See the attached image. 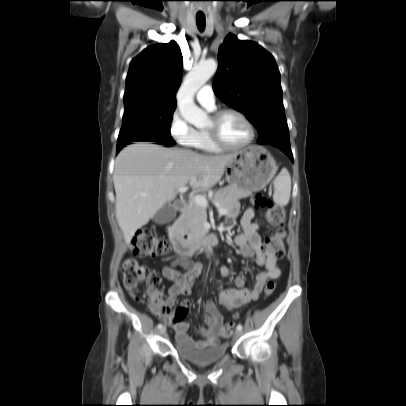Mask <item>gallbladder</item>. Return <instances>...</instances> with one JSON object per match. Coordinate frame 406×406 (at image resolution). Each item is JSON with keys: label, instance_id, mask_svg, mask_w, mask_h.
Here are the masks:
<instances>
[{"label": "gallbladder", "instance_id": "bac80fb5", "mask_svg": "<svg viewBox=\"0 0 406 406\" xmlns=\"http://www.w3.org/2000/svg\"><path fill=\"white\" fill-rule=\"evenodd\" d=\"M175 214L173 205L168 202L154 215L153 221L160 225L166 224L175 218Z\"/></svg>", "mask_w": 406, "mask_h": 406}]
</instances>
